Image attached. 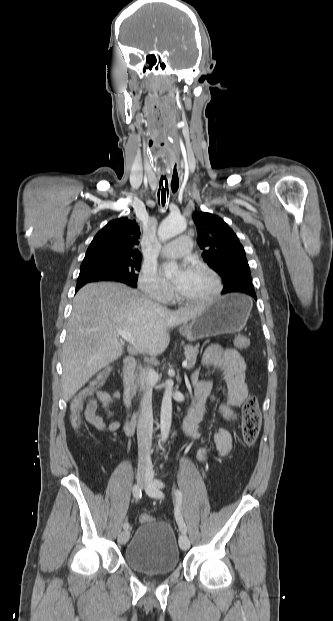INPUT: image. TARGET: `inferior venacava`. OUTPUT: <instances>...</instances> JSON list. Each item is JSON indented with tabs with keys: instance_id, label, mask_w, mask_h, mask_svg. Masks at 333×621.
Segmentation results:
<instances>
[{
	"instance_id": "inferior-vena-cava-1",
	"label": "inferior vena cava",
	"mask_w": 333,
	"mask_h": 621,
	"mask_svg": "<svg viewBox=\"0 0 333 621\" xmlns=\"http://www.w3.org/2000/svg\"><path fill=\"white\" fill-rule=\"evenodd\" d=\"M147 387L140 402V415L137 422L138 461L139 464H151L152 422V389L149 378Z\"/></svg>"
}]
</instances>
